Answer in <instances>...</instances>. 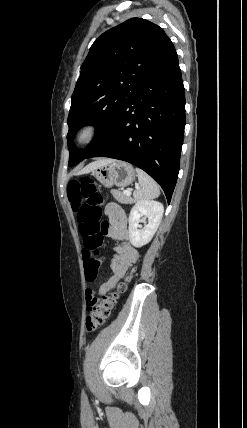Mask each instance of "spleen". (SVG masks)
Segmentation results:
<instances>
[{"label":"spleen","mask_w":247,"mask_h":428,"mask_svg":"<svg viewBox=\"0 0 247 428\" xmlns=\"http://www.w3.org/2000/svg\"><path fill=\"white\" fill-rule=\"evenodd\" d=\"M138 174V181L141 185L133 193L135 200H149L157 198L160 195L158 184L142 169L136 168Z\"/></svg>","instance_id":"3e777b00"}]
</instances>
